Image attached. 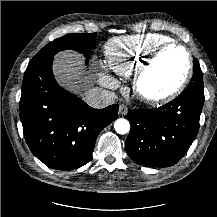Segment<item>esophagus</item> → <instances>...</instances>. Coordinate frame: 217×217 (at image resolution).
<instances>
[{"instance_id":"obj_1","label":"esophagus","mask_w":217,"mask_h":217,"mask_svg":"<svg viewBox=\"0 0 217 217\" xmlns=\"http://www.w3.org/2000/svg\"><path fill=\"white\" fill-rule=\"evenodd\" d=\"M127 113H128V108H127V106H126L125 104H121V105L119 106V114H120V115H127Z\"/></svg>"}]
</instances>
